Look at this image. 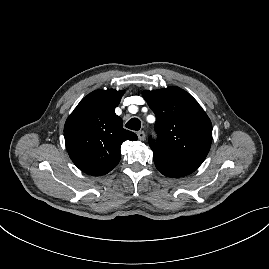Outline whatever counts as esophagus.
Segmentation results:
<instances>
[{
  "label": "esophagus",
  "instance_id": "esophagus-1",
  "mask_svg": "<svg viewBox=\"0 0 269 269\" xmlns=\"http://www.w3.org/2000/svg\"><path fill=\"white\" fill-rule=\"evenodd\" d=\"M137 135H138V138H139L141 141L145 140V133H144V131H139V132L137 133Z\"/></svg>",
  "mask_w": 269,
  "mask_h": 269
}]
</instances>
